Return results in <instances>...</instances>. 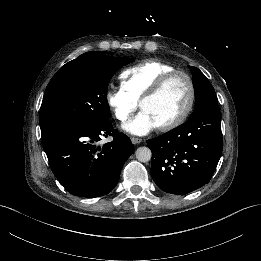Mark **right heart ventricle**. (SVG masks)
<instances>
[{
  "instance_id": "e07e8e85",
  "label": "right heart ventricle",
  "mask_w": 261,
  "mask_h": 261,
  "mask_svg": "<svg viewBox=\"0 0 261 261\" xmlns=\"http://www.w3.org/2000/svg\"><path fill=\"white\" fill-rule=\"evenodd\" d=\"M173 70L176 69L162 60H143L120 74L121 89L133 100L140 102L162 75Z\"/></svg>"
}]
</instances>
